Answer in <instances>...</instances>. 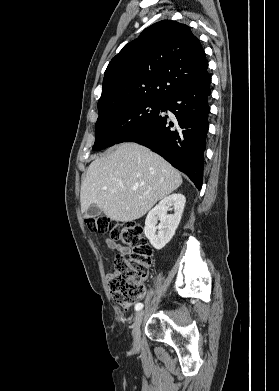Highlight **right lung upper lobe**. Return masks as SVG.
Returning a JSON list of instances; mask_svg holds the SVG:
<instances>
[{"label":"right lung upper lobe","instance_id":"1","mask_svg":"<svg viewBox=\"0 0 279 391\" xmlns=\"http://www.w3.org/2000/svg\"><path fill=\"white\" fill-rule=\"evenodd\" d=\"M207 67L203 47L187 25L155 23L110 61L98 112L138 100L164 102L199 79Z\"/></svg>","mask_w":279,"mask_h":391}]
</instances>
